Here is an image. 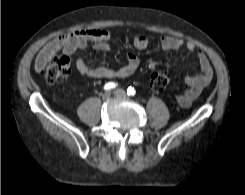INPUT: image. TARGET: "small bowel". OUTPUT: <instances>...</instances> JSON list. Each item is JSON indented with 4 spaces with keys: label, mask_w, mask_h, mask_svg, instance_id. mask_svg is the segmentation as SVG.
Wrapping results in <instances>:
<instances>
[{
    "label": "small bowel",
    "mask_w": 245,
    "mask_h": 195,
    "mask_svg": "<svg viewBox=\"0 0 245 195\" xmlns=\"http://www.w3.org/2000/svg\"><path fill=\"white\" fill-rule=\"evenodd\" d=\"M111 34L108 30L93 28L78 30L61 35L50 41L38 54L35 61V68L41 71L50 57L58 51H63L67 55H72L84 50L89 43L99 51H109ZM148 45V40L144 36H136L133 39V46L142 50ZM161 46L164 50L174 51L185 48L190 53L196 51V46L192 42H186L175 36H163ZM200 72L186 76L185 82L188 88L177 97V102L181 107H188L198 98L203 89L211 82L213 69L207 55L200 51L198 53ZM140 60L132 52H127V63L119 69L107 66H92L79 57L76 60V68L82 75L89 78H124L133 75L139 68Z\"/></svg>",
    "instance_id": "small-bowel-1"
}]
</instances>
